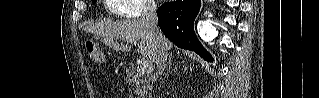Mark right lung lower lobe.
Segmentation results:
<instances>
[{
  "instance_id": "1",
  "label": "right lung lower lobe",
  "mask_w": 319,
  "mask_h": 98,
  "mask_svg": "<svg viewBox=\"0 0 319 98\" xmlns=\"http://www.w3.org/2000/svg\"><path fill=\"white\" fill-rule=\"evenodd\" d=\"M200 0H176L158 8V25L167 38L178 47L194 51L207 61L212 58L199 43L194 33V20L200 9Z\"/></svg>"
}]
</instances>
